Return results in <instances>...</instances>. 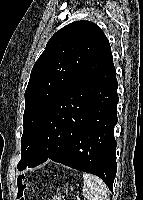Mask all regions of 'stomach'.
Segmentation results:
<instances>
[{
    "instance_id": "obj_1",
    "label": "stomach",
    "mask_w": 143,
    "mask_h": 200,
    "mask_svg": "<svg viewBox=\"0 0 143 200\" xmlns=\"http://www.w3.org/2000/svg\"><path fill=\"white\" fill-rule=\"evenodd\" d=\"M53 200H61V195L54 196V197H53Z\"/></svg>"
}]
</instances>
